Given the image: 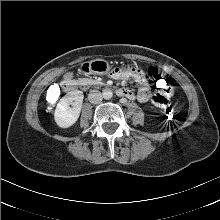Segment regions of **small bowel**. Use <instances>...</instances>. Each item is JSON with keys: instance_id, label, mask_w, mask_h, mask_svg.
<instances>
[{"instance_id": "c3829d8e", "label": "small bowel", "mask_w": 220, "mask_h": 220, "mask_svg": "<svg viewBox=\"0 0 220 220\" xmlns=\"http://www.w3.org/2000/svg\"><path fill=\"white\" fill-rule=\"evenodd\" d=\"M111 74L114 77L130 76L134 78V80L138 84H141L136 94L128 90L129 92L128 99L130 100L137 99L141 103H145V102L152 100V102L156 104L155 103L156 96H162L166 99H170L174 94L173 88L170 85H168L166 90L162 92H157L155 95L152 96L151 91L148 88V86L143 85L145 83V75L142 72L140 65L138 64H133V65L132 64H120L118 66H114L111 69Z\"/></svg>"}]
</instances>
